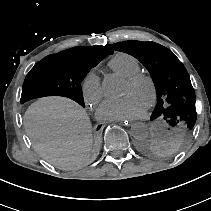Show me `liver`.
<instances>
[{
	"instance_id": "1",
	"label": "liver",
	"mask_w": 211,
	"mask_h": 211,
	"mask_svg": "<svg viewBox=\"0 0 211 211\" xmlns=\"http://www.w3.org/2000/svg\"><path fill=\"white\" fill-rule=\"evenodd\" d=\"M23 121L35 150L53 164L76 165L91 148L90 119L85 109L71 99L40 98L28 107Z\"/></svg>"
}]
</instances>
